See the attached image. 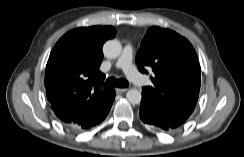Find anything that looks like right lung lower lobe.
Instances as JSON below:
<instances>
[{
	"label": "right lung lower lobe",
	"mask_w": 244,
	"mask_h": 157,
	"mask_svg": "<svg viewBox=\"0 0 244 157\" xmlns=\"http://www.w3.org/2000/svg\"><path fill=\"white\" fill-rule=\"evenodd\" d=\"M114 98H115V91H113L109 104L94 117V119L91 121V124L87 125L88 127L86 129H90L91 127H94V126L100 124L106 118V116L108 115V113L111 109ZM66 125L72 129H76V130H80L84 126L83 125L82 127H79L77 125H70V124H66Z\"/></svg>",
	"instance_id": "right-lung-lower-lobe-1"
}]
</instances>
